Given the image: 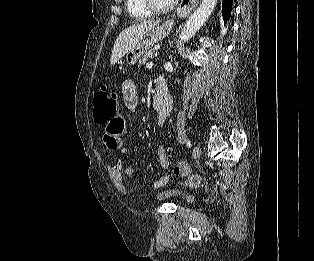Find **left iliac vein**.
Here are the masks:
<instances>
[{
    "mask_svg": "<svg viewBox=\"0 0 314 261\" xmlns=\"http://www.w3.org/2000/svg\"><path fill=\"white\" fill-rule=\"evenodd\" d=\"M201 153V149L198 146H195L192 151V157L194 159L198 158Z\"/></svg>",
    "mask_w": 314,
    "mask_h": 261,
    "instance_id": "1",
    "label": "left iliac vein"
}]
</instances>
